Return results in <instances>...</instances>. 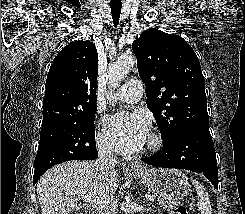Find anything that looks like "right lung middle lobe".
<instances>
[{
  "mask_svg": "<svg viewBox=\"0 0 245 214\" xmlns=\"http://www.w3.org/2000/svg\"><path fill=\"white\" fill-rule=\"evenodd\" d=\"M95 110L75 123L67 124L40 134L39 149L35 158V172L70 160H90L95 143Z\"/></svg>",
  "mask_w": 245,
  "mask_h": 214,
  "instance_id": "right-lung-middle-lobe-1",
  "label": "right lung middle lobe"
}]
</instances>
